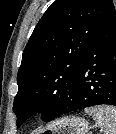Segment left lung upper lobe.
I'll return each mask as SVG.
<instances>
[{
  "mask_svg": "<svg viewBox=\"0 0 116 134\" xmlns=\"http://www.w3.org/2000/svg\"><path fill=\"white\" fill-rule=\"evenodd\" d=\"M113 8L112 0H55L46 10L17 74V127L36 112L50 121L72 96L88 49Z\"/></svg>",
  "mask_w": 116,
  "mask_h": 134,
  "instance_id": "left-lung-upper-lobe-1",
  "label": "left lung upper lobe"
}]
</instances>
